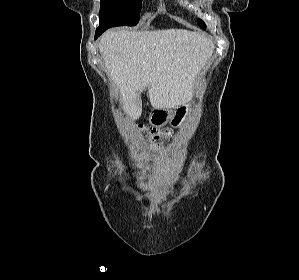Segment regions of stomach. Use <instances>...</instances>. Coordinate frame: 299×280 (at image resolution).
<instances>
[{
  "instance_id": "obj_1",
  "label": "stomach",
  "mask_w": 299,
  "mask_h": 280,
  "mask_svg": "<svg viewBox=\"0 0 299 280\" xmlns=\"http://www.w3.org/2000/svg\"><path fill=\"white\" fill-rule=\"evenodd\" d=\"M189 105H181L175 110L169 109H154L150 112L149 122L154 127H162L168 122L172 123L175 127L180 126L186 120L189 113Z\"/></svg>"
}]
</instances>
